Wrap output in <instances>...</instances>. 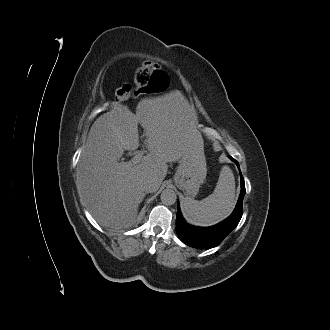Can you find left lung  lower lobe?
<instances>
[{"mask_svg": "<svg viewBox=\"0 0 330 330\" xmlns=\"http://www.w3.org/2000/svg\"><path fill=\"white\" fill-rule=\"evenodd\" d=\"M237 167L239 168L238 162L230 157ZM240 170V168H239ZM241 179V193L237 205L233 213L223 222L212 226V227H194L188 225L181 214L180 208L178 206L177 218H176V231L180 239L188 246L199 248V249H209L218 246L222 240L237 226L242 217V203L245 194V183L240 172Z\"/></svg>", "mask_w": 330, "mask_h": 330, "instance_id": "obj_1", "label": "left lung lower lobe"}]
</instances>
